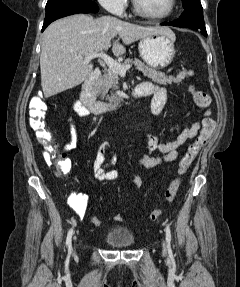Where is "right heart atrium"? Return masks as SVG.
I'll list each match as a JSON object with an SVG mask.
<instances>
[{
	"label": "right heart atrium",
	"mask_w": 240,
	"mask_h": 287,
	"mask_svg": "<svg viewBox=\"0 0 240 287\" xmlns=\"http://www.w3.org/2000/svg\"><path fill=\"white\" fill-rule=\"evenodd\" d=\"M100 5L114 15H122L127 7L128 0H98Z\"/></svg>",
	"instance_id": "1"
}]
</instances>
